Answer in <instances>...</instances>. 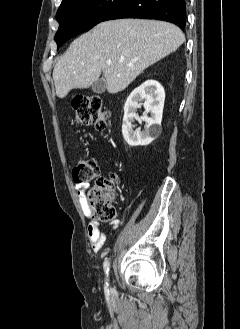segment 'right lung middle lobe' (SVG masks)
Here are the masks:
<instances>
[{
  "mask_svg": "<svg viewBox=\"0 0 240 329\" xmlns=\"http://www.w3.org/2000/svg\"><path fill=\"white\" fill-rule=\"evenodd\" d=\"M123 0H72L56 14L59 29L55 35L58 48L69 38L88 31L115 9Z\"/></svg>",
  "mask_w": 240,
  "mask_h": 329,
  "instance_id": "right-lung-middle-lobe-1",
  "label": "right lung middle lobe"
}]
</instances>
